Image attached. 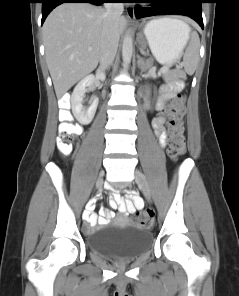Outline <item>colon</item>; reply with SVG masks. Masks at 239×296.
<instances>
[{"instance_id":"colon-1","label":"colon","mask_w":239,"mask_h":296,"mask_svg":"<svg viewBox=\"0 0 239 296\" xmlns=\"http://www.w3.org/2000/svg\"><path fill=\"white\" fill-rule=\"evenodd\" d=\"M168 121V153L171 159L177 160L184 153V97L178 94L165 110ZM59 137L57 148L62 154H69L73 149L76 136L80 132V127L73 123L72 116L67 108H62L59 112ZM152 210L142 208L134 219L140 225H146L152 219Z\"/></svg>"}]
</instances>
